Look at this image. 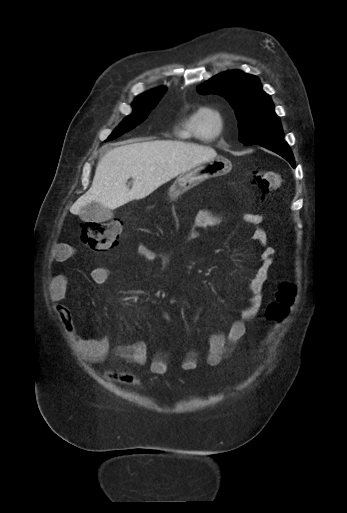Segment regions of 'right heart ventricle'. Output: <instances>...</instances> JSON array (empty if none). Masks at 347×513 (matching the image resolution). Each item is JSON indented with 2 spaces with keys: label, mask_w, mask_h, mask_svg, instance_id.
Listing matches in <instances>:
<instances>
[{
  "label": "right heart ventricle",
  "mask_w": 347,
  "mask_h": 513,
  "mask_svg": "<svg viewBox=\"0 0 347 513\" xmlns=\"http://www.w3.org/2000/svg\"><path fill=\"white\" fill-rule=\"evenodd\" d=\"M198 109L190 112L183 120L177 135L182 139H198L202 141H208L204 135L200 134L196 130V116Z\"/></svg>",
  "instance_id": "e07e8e85"
}]
</instances>
